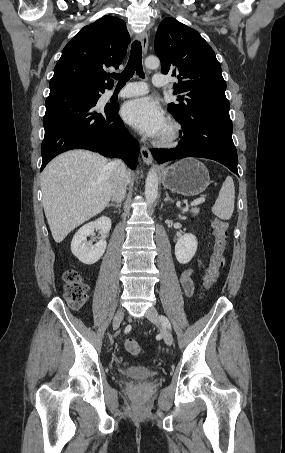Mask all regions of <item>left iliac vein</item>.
Wrapping results in <instances>:
<instances>
[{"label":"left iliac vein","instance_id":"1","mask_svg":"<svg viewBox=\"0 0 285 453\" xmlns=\"http://www.w3.org/2000/svg\"><path fill=\"white\" fill-rule=\"evenodd\" d=\"M145 315H146V318L149 321H151L153 324H155V325L160 327L165 343L168 346L172 345L173 336H172L171 332L168 329H166L165 327H162L160 325V321H159V318H158V312H157L156 308L155 307H150L146 311Z\"/></svg>","mask_w":285,"mask_h":453}]
</instances>
